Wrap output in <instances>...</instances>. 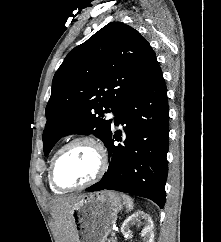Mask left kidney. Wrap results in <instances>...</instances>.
<instances>
[{"mask_svg": "<svg viewBox=\"0 0 221 242\" xmlns=\"http://www.w3.org/2000/svg\"><path fill=\"white\" fill-rule=\"evenodd\" d=\"M144 219L145 227L141 231V237H143V242H154V233H153V221L151 217L145 214L143 211H137L136 213L130 215L122 224L121 232L124 235L131 233L130 227L136 221Z\"/></svg>", "mask_w": 221, "mask_h": 242, "instance_id": "5707ae66", "label": "left kidney"}]
</instances>
